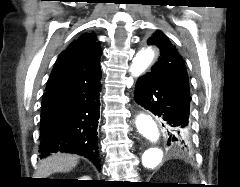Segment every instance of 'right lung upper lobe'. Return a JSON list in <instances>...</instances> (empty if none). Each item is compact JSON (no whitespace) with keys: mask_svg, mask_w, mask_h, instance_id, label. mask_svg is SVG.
<instances>
[{"mask_svg":"<svg viewBox=\"0 0 240 187\" xmlns=\"http://www.w3.org/2000/svg\"><path fill=\"white\" fill-rule=\"evenodd\" d=\"M96 40L94 34H84L59 55L48 79L46 91L101 72L102 51Z\"/></svg>","mask_w":240,"mask_h":187,"instance_id":"obj_1","label":"right lung upper lobe"}]
</instances>
